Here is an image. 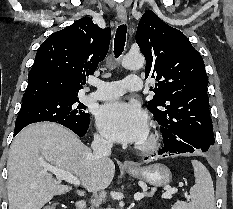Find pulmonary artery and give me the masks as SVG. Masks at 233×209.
Returning <instances> with one entry per match:
<instances>
[{"instance_id":"e3ab8cb5","label":"pulmonary artery","mask_w":233,"mask_h":209,"mask_svg":"<svg viewBox=\"0 0 233 209\" xmlns=\"http://www.w3.org/2000/svg\"><path fill=\"white\" fill-rule=\"evenodd\" d=\"M91 84L97 89L88 96L96 100H107L117 98L126 91H139L142 88V79L138 75H129L121 81L93 80Z\"/></svg>"}]
</instances>
